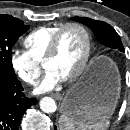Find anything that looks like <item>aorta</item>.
<instances>
[{"mask_svg": "<svg viewBox=\"0 0 130 130\" xmlns=\"http://www.w3.org/2000/svg\"><path fill=\"white\" fill-rule=\"evenodd\" d=\"M40 108L45 113H53L56 111L57 105L51 97H44L40 100Z\"/></svg>", "mask_w": 130, "mask_h": 130, "instance_id": "obj_1", "label": "aorta"}]
</instances>
